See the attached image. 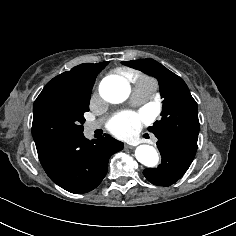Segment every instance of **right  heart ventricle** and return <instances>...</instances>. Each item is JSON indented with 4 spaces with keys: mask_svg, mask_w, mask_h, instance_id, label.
<instances>
[{
    "mask_svg": "<svg viewBox=\"0 0 236 236\" xmlns=\"http://www.w3.org/2000/svg\"><path fill=\"white\" fill-rule=\"evenodd\" d=\"M133 83H134V86L145 85V86H150L153 88H155L156 86L155 81L151 77L143 75V74L135 75L133 78Z\"/></svg>",
    "mask_w": 236,
    "mask_h": 236,
    "instance_id": "right-heart-ventricle-1",
    "label": "right heart ventricle"
}]
</instances>
